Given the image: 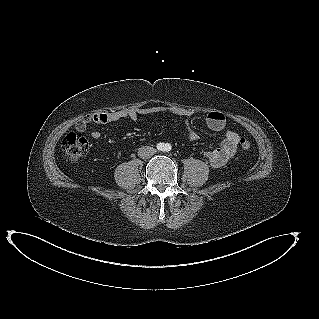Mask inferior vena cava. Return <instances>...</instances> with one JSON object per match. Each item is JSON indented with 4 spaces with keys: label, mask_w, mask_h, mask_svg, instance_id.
Returning a JSON list of instances; mask_svg holds the SVG:
<instances>
[{
    "label": "inferior vena cava",
    "mask_w": 319,
    "mask_h": 319,
    "mask_svg": "<svg viewBox=\"0 0 319 319\" xmlns=\"http://www.w3.org/2000/svg\"><path fill=\"white\" fill-rule=\"evenodd\" d=\"M156 152L155 148L151 146H142L138 150V156L142 159H148L154 155Z\"/></svg>",
    "instance_id": "inferior-vena-cava-1"
}]
</instances>
